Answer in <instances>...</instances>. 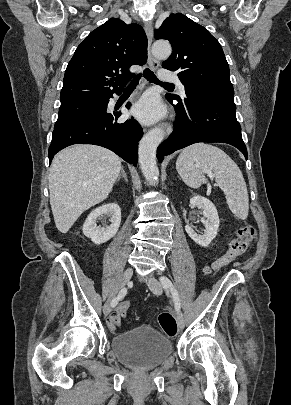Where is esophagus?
I'll return each mask as SVG.
<instances>
[{
	"label": "esophagus",
	"mask_w": 291,
	"mask_h": 405,
	"mask_svg": "<svg viewBox=\"0 0 291 405\" xmlns=\"http://www.w3.org/2000/svg\"><path fill=\"white\" fill-rule=\"evenodd\" d=\"M144 30L148 39V64L151 70L156 71L160 66V62L156 58H154V56L151 53L153 28L150 22L145 23ZM161 127L165 129L167 135L170 134V132L172 131V127L168 122L162 123Z\"/></svg>",
	"instance_id": "34e87169"
}]
</instances>
